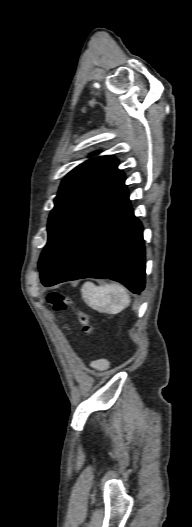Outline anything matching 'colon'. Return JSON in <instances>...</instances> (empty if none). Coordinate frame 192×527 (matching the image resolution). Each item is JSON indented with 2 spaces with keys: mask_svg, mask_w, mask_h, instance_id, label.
<instances>
[{
  "mask_svg": "<svg viewBox=\"0 0 192 527\" xmlns=\"http://www.w3.org/2000/svg\"><path fill=\"white\" fill-rule=\"evenodd\" d=\"M47 300L56 311H63L70 305V300L60 292L50 293ZM78 318L81 325L83 326V331L88 334L91 333L93 331V326L88 314L83 311H78Z\"/></svg>",
  "mask_w": 192,
  "mask_h": 527,
  "instance_id": "5ec220e1",
  "label": "colon"
}]
</instances>
